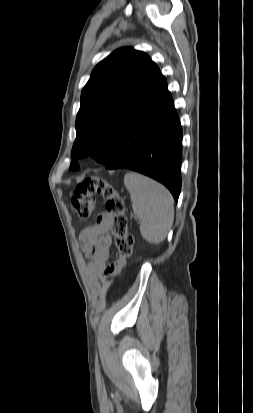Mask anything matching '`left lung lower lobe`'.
Returning <instances> with one entry per match:
<instances>
[{
    "label": "left lung lower lobe",
    "instance_id": "obj_1",
    "mask_svg": "<svg viewBox=\"0 0 253 413\" xmlns=\"http://www.w3.org/2000/svg\"><path fill=\"white\" fill-rule=\"evenodd\" d=\"M117 156L106 169H131L164 184L177 202L181 191L182 127L164 79L139 114L121 128Z\"/></svg>",
    "mask_w": 253,
    "mask_h": 413
}]
</instances>
